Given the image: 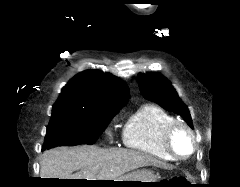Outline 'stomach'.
<instances>
[{
  "label": "stomach",
  "instance_id": "stomach-1",
  "mask_svg": "<svg viewBox=\"0 0 240 187\" xmlns=\"http://www.w3.org/2000/svg\"><path fill=\"white\" fill-rule=\"evenodd\" d=\"M159 177L150 170H138L130 174L124 175L119 179L112 180L111 186L116 187H156L158 183H146V182H160ZM123 181V182H113Z\"/></svg>",
  "mask_w": 240,
  "mask_h": 187
}]
</instances>
